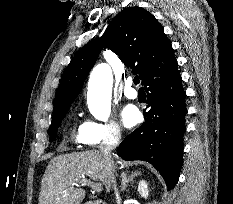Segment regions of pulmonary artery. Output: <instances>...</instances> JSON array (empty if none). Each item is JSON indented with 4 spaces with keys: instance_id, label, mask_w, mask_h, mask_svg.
<instances>
[{
    "instance_id": "pulmonary-artery-1",
    "label": "pulmonary artery",
    "mask_w": 233,
    "mask_h": 204,
    "mask_svg": "<svg viewBox=\"0 0 233 204\" xmlns=\"http://www.w3.org/2000/svg\"><path fill=\"white\" fill-rule=\"evenodd\" d=\"M133 81L132 79H127L124 88V95L129 99H136L138 94L137 91L132 87Z\"/></svg>"
}]
</instances>
